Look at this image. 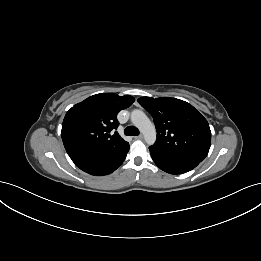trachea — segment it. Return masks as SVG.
Wrapping results in <instances>:
<instances>
[{
  "label": "trachea",
  "mask_w": 261,
  "mask_h": 261,
  "mask_svg": "<svg viewBox=\"0 0 261 261\" xmlns=\"http://www.w3.org/2000/svg\"><path fill=\"white\" fill-rule=\"evenodd\" d=\"M124 133L127 136H138L139 130L135 126H128L125 128Z\"/></svg>",
  "instance_id": "3493384b"
}]
</instances>
